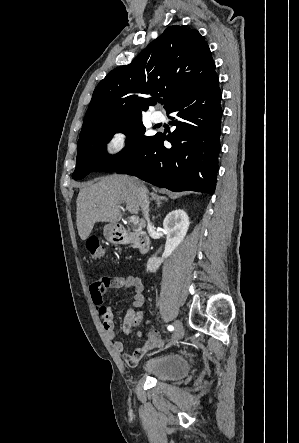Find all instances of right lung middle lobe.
<instances>
[{
	"label": "right lung middle lobe",
	"mask_w": 299,
	"mask_h": 443,
	"mask_svg": "<svg viewBox=\"0 0 299 443\" xmlns=\"http://www.w3.org/2000/svg\"><path fill=\"white\" fill-rule=\"evenodd\" d=\"M117 132L127 136V146L116 155L106 152V143ZM142 118L109 124L95 129L78 141L76 169L72 177L84 178L92 171L116 172L136 160L155 136H145Z\"/></svg>",
	"instance_id": "dd1d6c3e"
}]
</instances>
